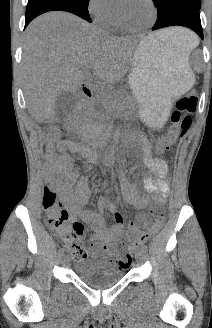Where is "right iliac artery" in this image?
Returning <instances> with one entry per match:
<instances>
[{
	"mask_svg": "<svg viewBox=\"0 0 212 328\" xmlns=\"http://www.w3.org/2000/svg\"><path fill=\"white\" fill-rule=\"evenodd\" d=\"M58 252H59V255L62 256L64 254V249L63 248H60Z\"/></svg>",
	"mask_w": 212,
	"mask_h": 328,
	"instance_id": "1",
	"label": "right iliac artery"
}]
</instances>
